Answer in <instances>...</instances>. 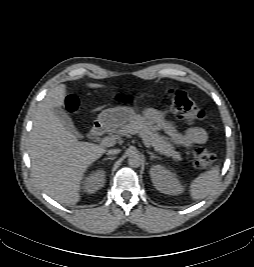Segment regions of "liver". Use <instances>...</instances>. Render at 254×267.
<instances>
[{"mask_svg":"<svg viewBox=\"0 0 254 267\" xmlns=\"http://www.w3.org/2000/svg\"><path fill=\"white\" fill-rule=\"evenodd\" d=\"M87 86L102 87L95 83ZM66 94V85L60 84L38 105L28 153L32 175L40 188L57 202L74 205L80 200L84 173L106 150L93 143L78 141L54 114L53 109L64 104Z\"/></svg>","mask_w":254,"mask_h":267,"instance_id":"1","label":"liver"}]
</instances>
